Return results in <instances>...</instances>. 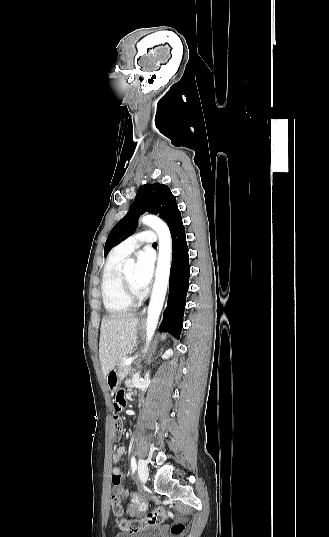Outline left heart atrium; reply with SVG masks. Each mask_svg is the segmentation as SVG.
Wrapping results in <instances>:
<instances>
[{
  "instance_id": "39dd6f15",
  "label": "left heart atrium",
  "mask_w": 329,
  "mask_h": 537,
  "mask_svg": "<svg viewBox=\"0 0 329 537\" xmlns=\"http://www.w3.org/2000/svg\"><path fill=\"white\" fill-rule=\"evenodd\" d=\"M153 275V257L146 251L142 250L137 254L135 266V283L140 292H144L152 279Z\"/></svg>"
}]
</instances>
